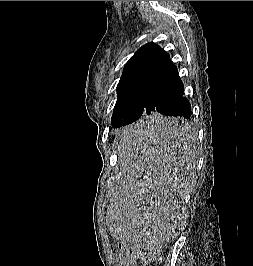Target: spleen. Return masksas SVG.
Instances as JSON below:
<instances>
[{"label":"spleen","instance_id":"spleen-1","mask_svg":"<svg viewBox=\"0 0 253 266\" xmlns=\"http://www.w3.org/2000/svg\"><path fill=\"white\" fill-rule=\"evenodd\" d=\"M189 123L179 115L155 111L147 123H131L130 131L115 135L113 155L120 161L123 190H109L119 199L107 212L114 242L122 248H165L173 235H183L188 189L195 182L187 141Z\"/></svg>","mask_w":253,"mask_h":266}]
</instances>
